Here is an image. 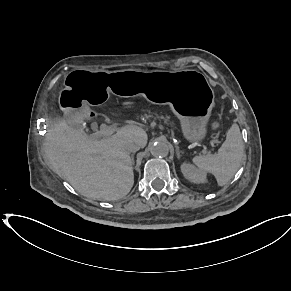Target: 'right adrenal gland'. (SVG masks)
I'll return each instance as SVG.
<instances>
[{
	"label": "right adrenal gland",
	"mask_w": 291,
	"mask_h": 291,
	"mask_svg": "<svg viewBox=\"0 0 291 291\" xmlns=\"http://www.w3.org/2000/svg\"><path fill=\"white\" fill-rule=\"evenodd\" d=\"M132 165H134V154L131 155Z\"/></svg>",
	"instance_id": "1"
}]
</instances>
